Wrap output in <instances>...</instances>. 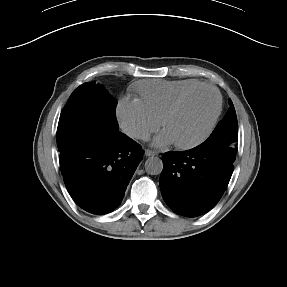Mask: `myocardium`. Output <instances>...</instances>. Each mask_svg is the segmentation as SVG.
<instances>
[{
    "label": "myocardium",
    "mask_w": 287,
    "mask_h": 287,
    "mask_svg": "<svg viewBox=\"0 0 287 287\" xmlns=\"http://www.w3.org/2000/svg\"><path fill=\"white\" fill-rule=\"evenodd\" d=\"M200 90H210L211 92L214 93V95L216 97V108H215V111H214L206 129L204 130V132L199 137H197L196 139H194L192 141L186 142V143H175V146L179 149H182V150H188V149H192V148L199 146L200 144L205 142L208 139V137L211 135V133L213 132V130L217 124V121L219 119V116L221 114V111H222V97H221L220 92L217 90V88H215L214 86L209 85V84H200L198 86L190 88L189 90L184 92L181 96H179L174 101V103L166 111V113L164 114V116L161 120L162 127L165 129L167 122L179 111V109L184 104V102L192 94H194Z\"/></svg>",
    "instance_id": "f54148a6"
}]
</instances>
